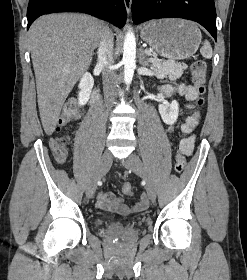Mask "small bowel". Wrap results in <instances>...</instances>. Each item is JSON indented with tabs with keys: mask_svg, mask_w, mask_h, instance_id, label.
I'll use <instances>...</instances> for the list:
<instances>
[{
	"mask_svg": "<svg viewBox=\"0 0 247 280\" xmlns=\"http://www.w3.org/2000/svg\"><path fill=\"white\" fill-rule=\"evenodd\" d=\"M162 90L167 95H172L174 93L182 95L189 102L194 101L198 96L197 90L195 89V87L191 85H185V84H180L178 86L166 85L162 88ZM195 125H196V119L192 117H188L185 123L182 125L181 129L184 132L189 133L192 131ZM172 129L173 128L170 127V130ZM194 142H195L194 135H190L189 137L183 139L180 143L181 151L186 155H190L194 147ZM97 206L98 208L103 210L115 211L122 215H128L131 213H136L145 210L148 207V199L147 196L143 194L139 202H137L133 206H128L122 203L121 199L117 198L113 193L101 192L97 198Z\"/></svg>",
	"mask_w": 247,
	"mask_h": 280,
	"instance_id": "obj_1",
	"label": "small bowel"
}]
</instances>
